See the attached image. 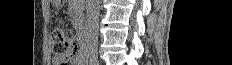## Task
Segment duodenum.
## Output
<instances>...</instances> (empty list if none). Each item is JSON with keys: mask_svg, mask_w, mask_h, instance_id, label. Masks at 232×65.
Returning <instances> with one entry per match:
<instances>
[{"mask_svg": "<svg viewBox=\"0 0 232 65\" xmlns=\"http://www.w3.org/2000/svg\"><path fill=\"white\" fill-rule=\"evenodd\" d=\"M78 42L80 45V48L84 51L87 52L88 49V37L87 33L85 30H81L78 35Z\"/></svg>", "mask_w": 232, "mask_h": 65, "instance_id": "duodenum-1", "label": "duodenum"}]
</instances>
